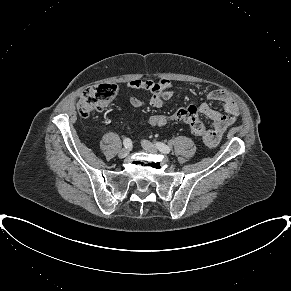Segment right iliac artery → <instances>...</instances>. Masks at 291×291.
Instances as JSON below:
<instances>
[{
    "instance_id": "82829eb1",
    "label": "right iliac artery",
    "mask_w": 291,
    "mask_h": 291,
    "mask_svg": "<svg viewBox=\"0 0 291 291\" xmlns=\"http://www.w3.org/2000/svg\"><path fill=\"white\" fill-rule=\"evenodd\" d=\"M125 148H130L132 145V141L129 138H125L123 141Z\"/></svg>"
}]
</instances>
